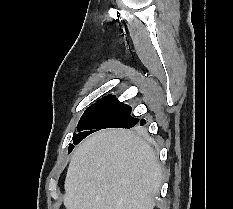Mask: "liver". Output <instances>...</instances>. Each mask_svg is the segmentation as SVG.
Segmentation results:
<instances>
[{
	"label": "liver",
	"mask_w": 233,
	"mask_h": 209,
	"mask_svg": "<svg viewBox=\"0 0 233 209\" xmlns=\"http://www.w3.org/2000/svg\"><path fill=\"white\" fill-rule=\"evenodd\" d=\"M162 172L151 146L130 130L106 129L74 151L64 183L67 209H153Z\"/></svg>",
	"instance_id": "liver-1"
}]
</instances>
